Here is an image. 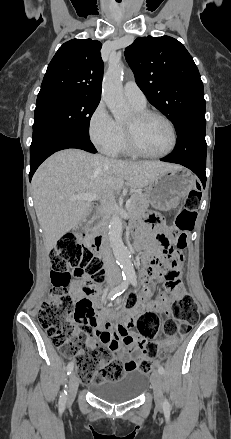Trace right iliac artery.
Listing matches in <instances>:
<instances>
[{"instance_id":"1","label":"right iliac artery","mask_w":231,"mask_h":439,"mask_svg":"<svg viewBox=\"0 0 231 439\" xmlns=\"http://www.w3.org/2000/svg\"><path fill=\"white\" fill-rule=\"evenodd\" d=\"M129 283H130V279L125 278L119 286L115 287L114 289H112L110 291L108 298L110 300H114L117 296L121 295L126 290ZM73 367H74V363L70 362L67 366V375L68 376L71 374ZM66 400H67V391L64 390L60 395L59 405L61 407H64L66 404Z\"/></svg>"}]
</instances>
